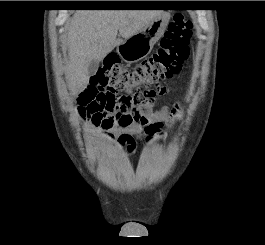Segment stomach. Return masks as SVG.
Listing matches in <instances>:
<instances>
[{"instance_id":"stomach-1","label":"stomach","mask_w":265,"mask_h":245,"mask_svg":"<svg viewBox=\"0 0 265 245\" xmlns=\"http://www.w3.org/2000/svg\"><path fill=\"white\" fill-rule=\"evenodd\" d=\"M170 20L168 12L153 18L138 33L117 45V53L126 63H134L147 57L156 42L163 36Z\"/></svg>"}]
</instances>
